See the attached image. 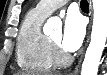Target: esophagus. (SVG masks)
I'll return each instance as SVG.
<instances>
[{
  "mask_svg": "<svg viewBox=\"0 0 107 75\" xmlns=\"http://www.w3.org/2000/svg\"><path fill=\"white\" fill-rule=\"evenodd\" d=\"M87 42H88V37H87ZM80 64H81V59L79 61V63L77 64V66L75 67L74 71L71 73V75H76L79 73L80 71Z\"/></svg>",
  "mask_w": 107,
  "mask_h": 75,
  "instance_id": "34e87169",
  "label": "esophagus"
}]
</instances>
